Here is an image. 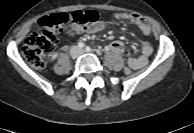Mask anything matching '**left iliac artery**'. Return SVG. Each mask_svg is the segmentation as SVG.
Instances as JSON below:
<instances>
[{
  "label": "left iliac artery",
  "instance_id": "obj_1",
  "mask_svg": "<svg viewBox=\"0 0 194 133\" xmlns=\"http://www.w3.org/2000/svg\"><path fill=\"white\" fill-rule=\"evenodd\" d=\"M86 51L87 52H90L91 51V48L89 46L86 47Z\"/></svg>",
  "mask_w": 194,
  "mask_h": 133
}]
</instances>
